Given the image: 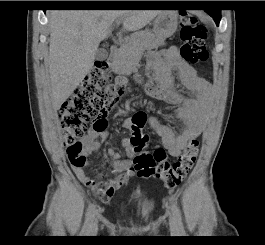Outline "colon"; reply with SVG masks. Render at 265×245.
Wrapping results in <instances>:
<instances>
[{"instance_id": "1", "label": "colon", "mask_w": 265, "mask_h": 245, "mask_svg": "<svg viewBox=\"0 0 265 245\" xmlns=\"http://www.w3.org/2000/svg\"><path fill=\"white\" fill-rule=\"evenodd\" d=\"M180 37L182 41L180 55L184 61L192 64L208 61V51L205 45L207 31L202 21L183 13ZM108 70L109 66L106 61H97L80 85L59 108L66 156L75 167H84L86 164L83 138L90 124L94 122L93 128L97 130L104 129L106 123L102 118L117 107L125 93V87L122 84L113 85L108 82ZM146 120L144 112H138L131 118V144L138 153L132 170L139 177L161 178L167 187H175L195 164L200 150L199 140L197 137L190 139L178 158L170 162L163 149L158 148L151 152L145 150L148 137L142 133V128ZM107 189L112 190L111 187Z\"/></svg>"}]
</instances>
